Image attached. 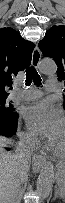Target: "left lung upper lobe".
Instances as JSON below:
<instances>
[{
	"label": "left lung upper lobe",
	"mask_w": 65,
	"mask_h": 203,
	"mask_svg": "<svg viewBox=\"0 0 65 203\" xmlns=\"http://www.w3.org/2000/svg\"><path fill=\"white\" fill-rule=\"evenodd\" d=\"M38 46L44 56L55 60L58 66V78L65 82V26L54 25L46 32L45 37L39 42Z\"/></svg>",
	"instance_id": "1"
}]
</instances>
